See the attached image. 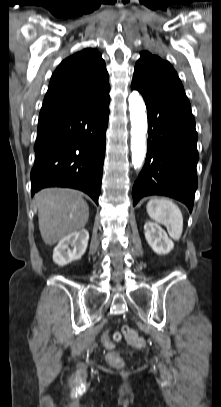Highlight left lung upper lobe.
Here are the masks:
<instances>
[{
  "instance_id": "5c2ea615",
  "label": "left lung upper lobe",
  "mask_w": 221,
  "mask_h": 407,
  "mask_svg": "<svg viewBox=\"0 0 221 407\" xmlns=\"http://www.w3.org/2000/svg\"><path fill=\"white\" fill-rule=\"evenodd\" d=\"M131 86L151 95L184 92L182 83L170 63L147 51L141 52V57L135 65Z\"/></svg>"
}]
</instances>
